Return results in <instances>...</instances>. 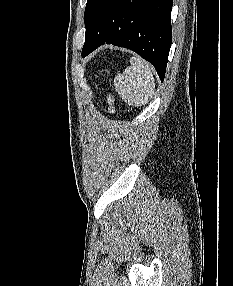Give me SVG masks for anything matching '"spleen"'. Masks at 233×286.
<instances>
[{
	"label": "spleen",
	"instance_id": "3e777b00",
	"mask_svg": "<svg viewBox=\"0 0 233 286\" xmlns=\"http://www.w3.org/2000/svg\"><path fill=\"white\" fill-rule=\"evenodd\" d=\"M130 66L114 78V87L130 106L145 105L155 92L153 67L141 57L130 58Z\"/></svg>",
	"mask_w": 233,
	"mask_h": 286
}]
</instances>
